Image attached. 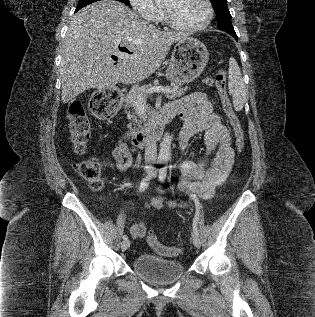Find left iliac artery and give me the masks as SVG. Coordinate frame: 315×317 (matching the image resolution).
<instances>
[{
	"label": "left iliac artery",
	"mask_w": 315,
	"mask_h": 317,
	"mask_svg": "<svg viewBox=\"0 0 315 317\" xmlns=\"http://www.w3.org/2000/svg\"><path fill=\"white\" fill-rule=\"evenodd\" d=\"M166 175H167V167L166 166H163L160 168L159 170V180L160 181H164L165 178H166ZM193 197V200L195 202V206H196V214H195V218L193 220V232L195 235H199V231H198V227H197V222H198V217H199V211H200V202L199 200L194 196L192 195Z\"/></svg>",
	"instance_id": "obj_1"
}]
</instances>
